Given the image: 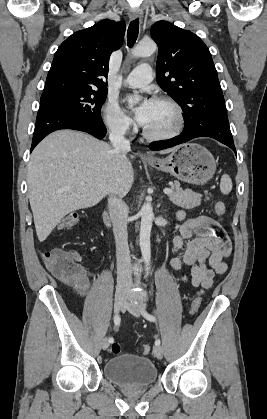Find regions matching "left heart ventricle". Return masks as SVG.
Listing matches in <instances>:
<instances>
[{
  "label": "left heart ventricle",
  "instance_id": "1",
  "mask_svg": "<svg viewBox=\"0 0 267 419\" xmlns=\"http://www.w3.org/2000/svg\"><path fill=\"white\" fill-rule=\"evenodd\" d=\"M176 122V113L171 105L153 101L147 121L143 126L152 133H164L171 130Z\"/></svg>",
  "mask_w": 267,
  "mask_h": 419
}]
</instances>
